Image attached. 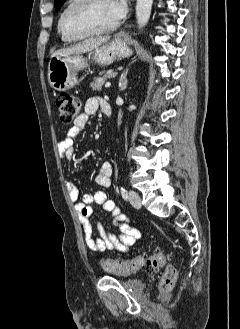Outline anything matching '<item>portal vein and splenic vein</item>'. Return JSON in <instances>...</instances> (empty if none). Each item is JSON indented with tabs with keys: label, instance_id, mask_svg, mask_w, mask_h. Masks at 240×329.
<instances>
[{
	"label": "portal vein and splenic vein",
	"instance_id": "portal-vein-and-splenic-vein-1",
	"mask_svg": "<svg viewBox=\"0 0 240 329\" xmlns=\"http://www.w3.org/2000/svg\"><path fill=\"white\" fill-rule=\"evenodd\" d=\"M111 86V83L110 82H107L106 84H105V87L106 88H109Z\"/></svg>",
	"mask_w": 240,
	"mask_h": 329
}]
</instances>
